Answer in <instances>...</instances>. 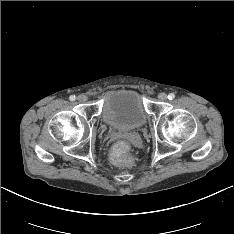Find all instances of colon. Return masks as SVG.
<instances>
[{
  "instance_id": "1",
  "label": "colon",
  "mask_w": 234,
  "mask_h": 234,
  "mask_svg": "<svg viewBox=\"0 0 234 234\" xmlns=\"http://www.w3.org/2000/svg\"><path fill=\"white\" fill-rule=\"evenodd\" d=\"M133 149L132 142L127 138L117 140L113 149L109 153L110 160L118 166L128 165L130 168H135L138 165V160L135 157H130V152Z\"/></svg>"
}]
</instances>
